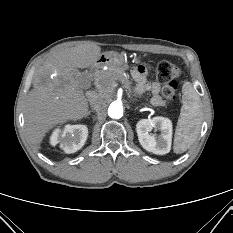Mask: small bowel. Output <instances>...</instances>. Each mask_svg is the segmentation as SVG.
<instances>
[{
    "label": "small bowel",
    "mask_w": 233,
    "mask_h": 233,
    "mask_svg": "<svg viewBox=\"0 0 233 233\" xmlns=\"http://www.w3.org/2000/svg\"><path fill=\"white\" fill-rule=\"evenodd\" d=\"M147 76L148 71L142 65L136 66L132 69V77L137 82V92L143 93L150 91L152 93V103L156 106L163 105L164 101L160 96L161 85L158 82H148Z\"/></svg>",
    "instance_id": "obj_1"
}]
</instances>
